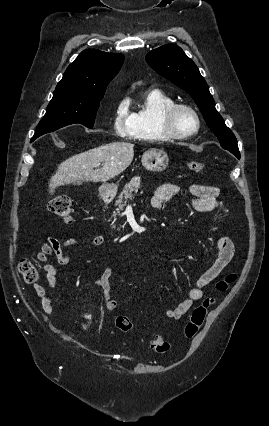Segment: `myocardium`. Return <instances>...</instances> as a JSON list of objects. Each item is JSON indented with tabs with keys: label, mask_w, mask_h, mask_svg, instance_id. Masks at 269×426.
<instances>
[{
	"label": "myocardium",
	"mask_w": 269,
	"mask_h": 426,
	"mask_svg": "<svg viewBox=\"0 0 269 426\" xmlns=\"http://www.w3.org/2000/svg\"><path fill=\"white\" fill-rule=\"evenodd\" d=\"M181 110L189 112L195 119V128L190 131H180L176 128L174 120ZM160 128L169 139H185L197 134L201 128V121L197 111L185 103H173L166 107L160 117Z\"/></svg>",
	"instance_id": "1"
}]
</instances>
